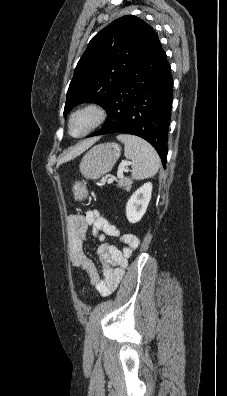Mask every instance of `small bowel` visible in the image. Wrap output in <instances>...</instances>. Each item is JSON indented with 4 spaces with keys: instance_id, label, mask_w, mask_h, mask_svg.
<instances>
[{
    "instance_id": "1",
    "label": "small bowel",
    "mask_w": 227,
    "mask_h": 396,
    "mask_svg": "<svg viewBox=\"0 0 227 396\" xmlns=\"http://www.w3.org/2000/svg\"><path fill=\"white\" fill-rule=\"evenodd\" d=\"M89 228L94 234L98 235L100 240L97 255L102 266L101 273L84 252L86 234ZM68 229V249L74 265L87 274L90 282L101 295H110L119 285L129 259L139 247V238L132 233L121 234L119 229L97 210H90L83 215L70 216L68 218ZM106 237L119 238L125 244V247L118 249L107 242Z\"/></svg>"
}]
</instances>
